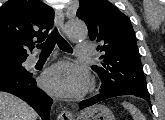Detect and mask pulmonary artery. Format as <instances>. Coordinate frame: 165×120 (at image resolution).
Segmentation results:
<instances>
[{"instance_id": "1", "label": "pulmonary artery", "mask_w": 165, "mask_h": 120, "mask_svg": "<svg viewBox=\"0 0 165 120\" xmlns=\"http://www.w3.org/2000/svg\"><path fill=\"white\" fill-rule=\"evenodd\" d=\"M76 52L79 56H89L93 52V45L90 42H81L78 44ZM37 60V58L31 57L28 59L27 64L33 66Z\"/></svg>"}]
</instances>
